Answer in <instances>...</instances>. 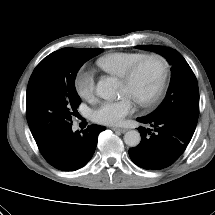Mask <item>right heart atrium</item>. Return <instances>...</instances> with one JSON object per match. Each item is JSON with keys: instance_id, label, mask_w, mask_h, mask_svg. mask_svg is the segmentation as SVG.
<instances>
[{"instance_id": "1", "label": "right heart atrium", "mask_w": 215, "mask_h": 215, "mask_svg": "<svg viewBox=\"0 0 215 215\" xmlns=\"http://www.w3.org/2000/svg\"><path fill=\"white\" fill-rule=\"evenodd\" d=\"M75 88L81 98L85 100L92 99L95 91V82L92 72L80 71L75 78Z\"/></svg>"}]
</instances>
